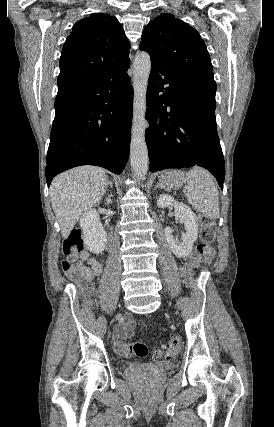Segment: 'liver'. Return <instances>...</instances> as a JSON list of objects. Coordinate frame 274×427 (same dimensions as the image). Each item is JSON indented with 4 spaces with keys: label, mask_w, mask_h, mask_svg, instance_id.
I'll use <instances>...</instances> for the list:
<instances>
[{
    "label": "liver",
    "mask_w": 274,
    "mask_h": 427,
    "mask_svg": "<svg viewBox=\"0 0 274 427\" xmlns=\"http://www.w3.org/2000/svg\"><path fill=\"white\" fill-rule=\"evenodd\" d=\"M107 184L106 172L96 166H79L52 180L50 200L62 237H68L81 214L99 204Z\"/></svg>",
    "instance_id": "liver-1"
}]
</instances>
